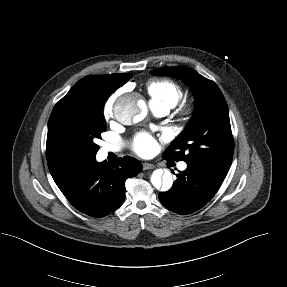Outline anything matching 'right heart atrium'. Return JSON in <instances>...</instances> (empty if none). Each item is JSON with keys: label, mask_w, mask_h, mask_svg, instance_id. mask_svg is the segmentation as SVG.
Here are the masks:
<instances>
[{"label": "right heart atrium", "mask_w": 287, "mask_h": 287, "mask_svg": "<svg viewBox=\"0 0 287 287\" xmlns=\"http://www.w3.org/2000/svg\"><path fill=\"white\" fill-rule=\"evenodd\" d=\"M117 99V94H112L103 106V115L105 119H110L113 115L114 105Z\"/></svg>", "instance_id": "d8ad5b80"}]
</instances>
